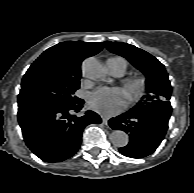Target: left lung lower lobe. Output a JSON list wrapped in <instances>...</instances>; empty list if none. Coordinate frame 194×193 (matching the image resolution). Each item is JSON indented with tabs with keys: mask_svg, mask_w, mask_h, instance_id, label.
Here are the masks:
<instances>
[{
	"mask_svg": "<svg viewBox=\"0 0 194 193\" xmlns=\"http://www.w3.org/2000/svg\"><path fill=\"white\" fill-rule=\"evenodd\" d=\"M170 101H161L140 108H133L109 120L114 130L129 134V143L119 151L131 158L152 154L162 142L171 116Z\"/></svg>",
	"mask_w": 194,
	"mask_h": 193,
	"instance_id": "0a47b994",
	"label": "left lung lower lobe"
}]
</instances>
